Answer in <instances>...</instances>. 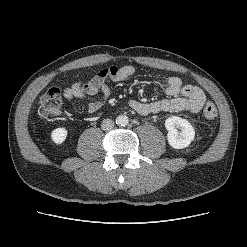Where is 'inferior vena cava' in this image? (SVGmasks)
<instances>
[{"label": "inferior vena cava", "instance_id": "602c4592", "mask_svg": "<svg viewBox=\"0 0 247 247\" xmlns=\"http://www.w3.org/2000/svg\"><path fill=\"white\" fill-rule=\"evenodd\" d=\"M113 127H114V121L111 119H104L101 123V128L104 131H109L113 129Z\"/></svg>", "mask_w": 247, "mask_h": 247}]
</instances>
